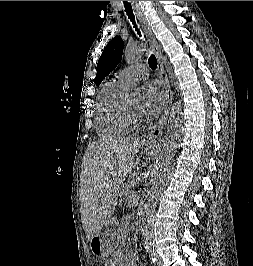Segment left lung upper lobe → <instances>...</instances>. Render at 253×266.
<instances>
[{
  "label": "left lung upper lobe",
  "mask_w": 253,
  "mask_h": 266,
  "mask_svg": "<svg viewBox=\"0 0 253 266\" xmlns=\"http://www.w3.org/2000/svg\"><path fill=\"white\" fill-rule=\"evenodd\" d=\"M123 40L120 36L113 38L103 50L97 63V74L93 80L98 86L120 62L123 53Z\"/></svg>",
  "instance_id": "1"
}]
</instances>
